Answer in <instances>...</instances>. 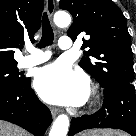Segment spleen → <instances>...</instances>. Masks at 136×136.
<instances>
[{"mask_svg":"<svg viewBox=\"0 0 136 136\" xmlns=\"http://www.w3.org/2000/svg\"><path fill=\"white\" fill-rule=\"evenodd\" d=\"M83 136H124L122 133L118 131H113V130H95V131H90Z\"/></svg>","mask_w":136,"mask_h":136,"instance_id":"spleen-1","label":"spleen"}]
</instances>
